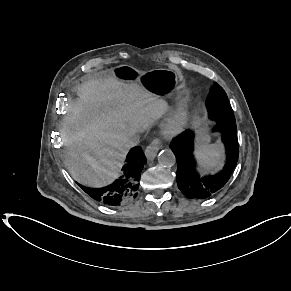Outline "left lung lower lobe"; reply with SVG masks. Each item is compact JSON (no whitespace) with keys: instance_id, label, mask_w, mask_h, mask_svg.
I'll list each match as a JSON object with an SVG mask.
<instances>
[{"instance_id":"obj_1","label":"left lung lower lobe","mask_w":291,"mask_h":291,"mask_svg":"<svg viewBox=\"0 0 291 291\" xmlns=\"http://www.w3.org/2000/svg\"><path fill=\"white\" fill-rule=\"evenodd\" d=\"M213 131L220 132L225 147L224 168L215 175L202 176L194 158V133L185 131L174 139L170 148L177 161L176 180L179 190L189 199H207L218 193L228 182L238 160L236 123L216 119Z\"/></svg>"}]
</instances>
